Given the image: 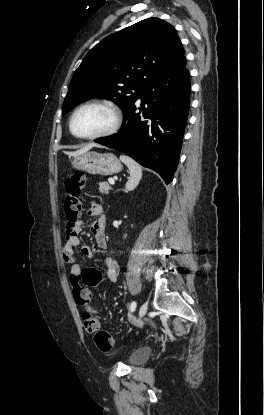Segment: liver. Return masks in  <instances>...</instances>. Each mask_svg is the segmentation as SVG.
<instances>
[{"label":"liver","mask_w":264,"mask_h":415,"mask_svg":"<svg viewBox=\"0 0 264 415\" xmlns=\"http://www.w3.org/2000/svg\"><path fill=\"white\" fill-rule=\"evenodd\" d=\"M94 146H96V145L95 144H90V145H87V146H85V147H83V148H81V149H79V150H77L75 152H70V154L76 156V155H79V154L88 152Z\"/></svg>","instance_id":"6515ba94"}]
</instances>
